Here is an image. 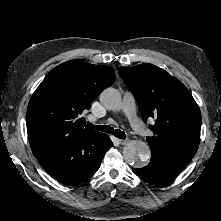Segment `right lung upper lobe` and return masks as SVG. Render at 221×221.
Returning a JSON list of instances; mask_svg holds the SVG:
<instances>
[{"label": "right lung upper lobe", "mask_w": 221, "mask_h": 221, "mask_svg": "<svg viewBox=\"0 0 221 221\" xmlns=\"http://www.w3.org/2000/svg\"><path fill=\"white\" fill-rule=\"evenodd\" d=\"M114 81L109 66L71 60L54 68L28 104L26 124L34 156L86 135L101 134L86 126L81 115Z\"/></svg>", "instance_id": "cb5924a9"}]
</instances>
